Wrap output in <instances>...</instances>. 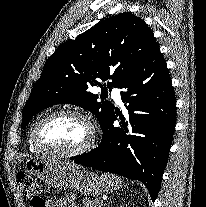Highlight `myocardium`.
<instances>
[{
  "label": "myocardium",
  "mask_w": 206,
  "mask_h": 207,
  "mask_svg": "<svg viewBox=\"0 0 206 207\" xmlns=\"http://www.w3.org/2000/svg\"><path fill=\"white\" fill-rule=\"evenodd\" d=\"M62 117H74V118H78L82 120L83 122H85V124L88 126L90 130V138L84 146L78 149L72 150V151H65L62 149H57V148L47 146L45 143L41 141L40 131L42 127L48 122L54 119H57V118H62ZM96 140H97V132H96L95 124L93 123V121L91 120L89 116L77 110H59V111L52 112L44 116L43 118H41L39 122L35 125V127L33 128V132H32L33 145L39 151L57 155V156H62V157H76V156L86 154L94 148L96 144Z\"/></svg>",
  "instance_id": "1"
}]
</instances>
